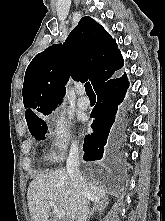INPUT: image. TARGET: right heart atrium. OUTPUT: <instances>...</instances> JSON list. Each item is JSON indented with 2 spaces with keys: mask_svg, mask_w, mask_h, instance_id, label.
<instances>
[{
  "mask_svg": "<svg viewBox=\"0 0 165 221\" xmlns=\"http://www.w3.org/2000/svg\"><path fill=\"white\" fill-rule=\"evenodd\" d=\"M80 139L75 131L73 122L63 113H55L49 125L48 158L59 162L70 152L78 150Z\"/></svg>",
  "mask_w": 165,
  "mask_h": 221,
  "instance_id": "d8ad5b80",
  "label": "right heart atrium"
}]
</instances>
